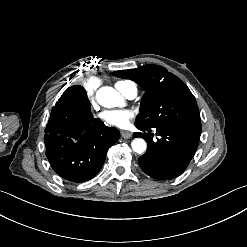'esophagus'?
<instances>
[{
    "instance_id": "esophagus-1",
    "label": "esophagus",
    "mask_w": 247,
    "mask_h": 247,
    "mask_svg": "<svg viewBox=\"0 0 247 247\" xmlns=\"http://www.w3.org/2000/svg\"><path fill=\"white\" fill-rule=\"evenodd\" d=\"M121 136H122V138H124V139H129V138L132 137V132H130V131H122V132H121Z\"/></svg>"
}]
</instances>
